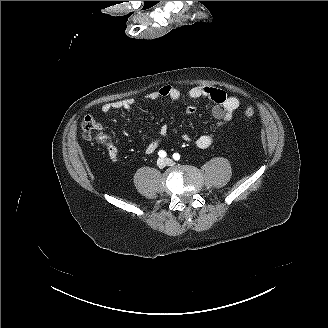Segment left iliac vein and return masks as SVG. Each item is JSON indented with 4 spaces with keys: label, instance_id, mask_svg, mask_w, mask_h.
<instances>
[{
    "label": "left iliac vein",
    "instance_id": "1",
    "mask_svg": "<svg viewBox=\"0 0 328 328\" xmlns=\"http://www.w3.org/2000/svg\"><path fill=\"white\" fill-rule=\"evenodd\" d=\"M164 160L166 161V164H167L168 166H173V165H175V163H174L171 159H169V158H165Z\"/></svg>",
    "mask_w": 328,
    "mask_h": 328
}]
</instances>
